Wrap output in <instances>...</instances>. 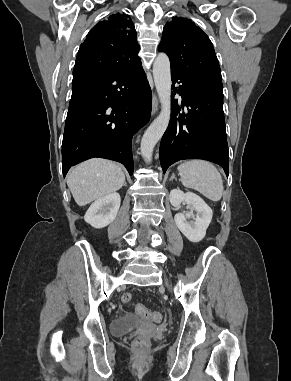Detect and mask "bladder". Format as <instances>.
<instances>
[{"label": "bladder", "instance_id": "bladder-1", "mask_svg": "<svg viewBox=\"0 0 291 381\" xmlns=\"http://www.w3.org/2000/svg\"><path fill=\"white\" fill-rule=\"evenodd\" d=\"M147 324L148 323L144 320V318L127 314L113 318L111 321L110 330L114 335H123Z\"/></svg>", "mask_w": 291, "mask_h": 381}]
</instances>
